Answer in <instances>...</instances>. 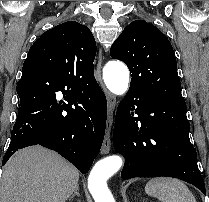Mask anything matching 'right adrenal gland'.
<instances>
[{
    "label": "right adrenal gland",
    "mask_w": 209,
    "mask_h": 202,
    "mask_svg": "<svg viewBox=\"0 0 209 202\" xmlns=\"http://www.w3.org/2000/svg\"><path fill=\"white\" fill-rule=\"evenodd\" d=\"M76 195L78 197H80L79 186L76 188V190L74 191V193L70 196L69 201H71Z\"/></svg>",
    "instance_id": "2a0ac1e0"
}]
</instances>
